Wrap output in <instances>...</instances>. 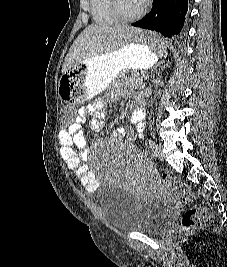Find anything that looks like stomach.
<instances>
[{
    "mask_svg": "<svg viewBox=\"0 0 227 267\" xmlns=\"http://www.w3.org/2000/svg\"><path fill=\"white\" fill-rule=\"evenodd\" d=\"M158 58L159 55H153L151 47L132 43L131 39L110 53L71 64V68H67L59 78L58 101L62 104H84L105 90L121 72L149 69Z\"/></svg>",
    "mask_w": 227,
    "mask_h": 267,
    "instance_id": "obj_1",
    "label": "stomach"
}]
</instances>
